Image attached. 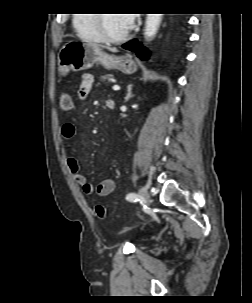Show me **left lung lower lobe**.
I'll return each mask as SVG.
<instances>
[{
  "mask_svg": "<svg viewBox=\"0 0 252 303\" xmlns=\"http://www.w3.org/2000/svg\"><path fill=\"white\" fill-rule=\"evenodd\" d=\"M122 47L124 49L136 52V55L142 60H147L149 57V53L147 52V50L143 48L142 45L137 42V40L125 43L122 45Z\"/></svg>",
  "mask_w": 252,
  "mask_h": 303,
  "instance_id": "1",
  "label": "left lung lower lobe"
}]
</instances>
